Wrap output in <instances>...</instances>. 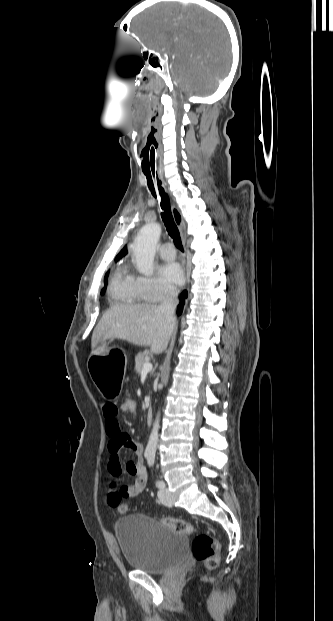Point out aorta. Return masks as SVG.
I'll return each mask as SVG.
<instances>
[{
  "label": "aorta",
  "mask_w": 333,
  "mask_h": 621,
  "mask_svg": "<svg viewBox=\"0 0 333 621\" xmlns=\"http://www.w3.org/2000/svg\"><path fill=\"white\" fill-rule=\"evenodd\" d=\"M161 235V226L158 223H148L139 231L134 241V254L138 271L145 276L152 273L155 249ZM160 414L158 413L153 424L151 434L144 455L154 457L158 444Z\"/></svg>",
  "instance_id": "1"
}]
</instances>
